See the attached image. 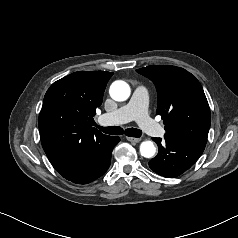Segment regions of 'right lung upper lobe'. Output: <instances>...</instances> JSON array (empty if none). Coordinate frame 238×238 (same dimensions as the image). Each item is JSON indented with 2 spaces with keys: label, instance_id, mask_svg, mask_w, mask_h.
Segmentation results:
<instances>
[{
  "label": "right lung upper lobe",
  "instance_id": "cb5924a9",
  "mask_svg": "<svg viewBox=\"0 0 238 238\" xmlns=\"http://www.w3.org/2000/svg\"><path fill=\"white\" fill-rule=\"evenodd\" d=\"M112 75L107 71L74 72L47 90L38 126L42 147L55 169L73 164L107 136L92 128L91 122Z\"/></svg>",
  "mask_w": 238,
  "mask_h": 238
}]
</instances>
